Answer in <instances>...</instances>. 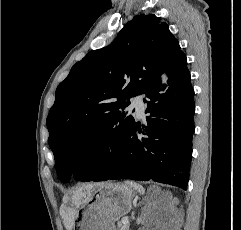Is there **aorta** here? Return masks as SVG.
<instances>
[{
	"label": "aorta",
	"instance_id": "obj_1",
	"mask_svg": "<svg viewBox=\"0 0 241 230\" xmlns=\"http://www.w3.org/2000/svg\"><path fill=\"white\" fill-rule=\"evenodd\" d=\"M162 82H163V83H166V82H167V77H166V75H163V76H162Z\"/></svg>",
	"mask_w": 241,
	"mask_h": 230
}]
</instances>
